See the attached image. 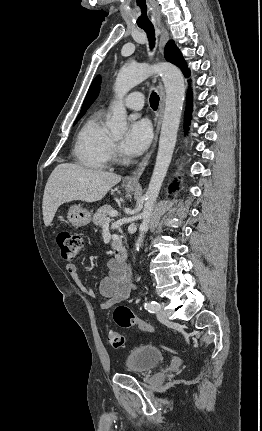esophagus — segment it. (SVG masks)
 Here are the masks:
<instances>
[{
    "instance_id": "1",
    "label": "esophagus",
    "mask_w": 262,
    "mask_h": 431,
    "mask_svg": "<svg viewBox=\"0 0 262 431\" xmlns=\"http://www.w3.org/2000/svg\"><path fill=\"white\" fill-rule=\"evenodd\" d=\"M158 27L160 30V49L163 50L165 44L168 41L169 34H168V31L165 27H163L161 25H159ZM160 85H161V83H160ZM163 110H164V91H163V88L161 85L160 105H159V110H158L157 115H156V130H155V138H154L152 147H151L150 151H148L146 153L144 158L137 165L136 169L132 172V174L126 178V185L127 186H139V178L142 175V173L144 172L145 167L147 166L148 161L151 157V154H152V152L156 146L158 134L160 131V125H161Z\"/></svg>"
}]
</instances>
